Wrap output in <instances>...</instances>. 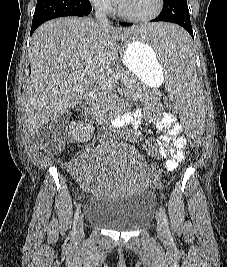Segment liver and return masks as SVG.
Here are the masks:
<instances>
[{
	"label": "liver",
	"mask_w": 227,
	"mask_h": 267,
	"mask_svg": "<svg viewBox=\"0 0 227 267\" xmlns=\"http://www.w3.org/2000/svg\"><path fill=\"white\" fill-rule=\"evenodd\" d=\"M134 30L101 27L91 18L48 21L33 34L28 58L31 75L26 91V124L31 134L81 103L94 74L118 59L116 42ZM76 71L87 74L75 78Z\"/></svg>",
	"instance_id": "6515ba94"
}]
</instances>
